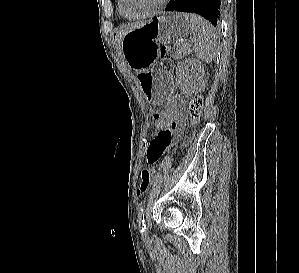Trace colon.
<instances>
[{
	"label": "colon",
	"mask_w": 299,
	"mask_h": 273,
	"mask_svg": "<svg viewBox=\"0 0 299 273\" xmlns=\"http://www.w3.org/2000/svg\"><path fill=\"white\" fill-rule=\"evenodd\" d=\"M167 50L168 47L162 46L161 54L165 55ZM202 112H203V98L201 96L193 97L190 100L187 109V113L192 125H196L199 122L202 116ZM174 115H175V110L172 106L163 108L161 111L156 112L153 116V120H154L153 133H157L166 129L172 122ZM155 173H156L155 167H152L150 169H145L141 172L138 194L140 195L145 194L149 190Z\"/></svg>",
	"instance_id": "obj_1"
}]
</instances>
